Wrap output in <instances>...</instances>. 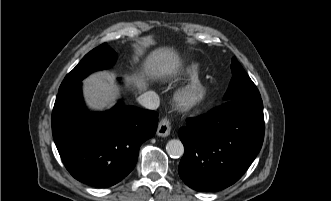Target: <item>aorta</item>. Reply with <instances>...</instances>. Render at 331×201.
Listing matches in <instances>:
<instances>
[{
    "mask_svg": "<svg viewBox=\"0 0 331 201\" xmlns=\"http://www.w3.org/2000/svg\"><path fill=\"white\" fill-rule=\"evenodd\" d=\"M167 154L172 158H179L184 154V146L180 140L172 139L166 145Z\"/></svg>",
    "mask_w": 331,
    "mask_h": 201,
    "instance_id": "1",
    "label": "aorta"
}]
</instances>
